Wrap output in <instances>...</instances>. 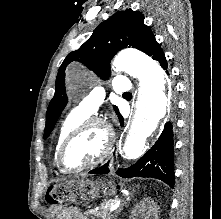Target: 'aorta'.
Here are the masks:
<instances>
[{
  "mask_svg": "<svg viewBox=\"0 0 221 219\" xmlns=\"http://www.w3.org/2000/svg\"><path fill=\"white\" fill-rule=\"evenodd\" d=\"M113 65L140 81L136 110L123 146L124 157L133 159L142 154L146 138L166 115L168 86L164 70L158 62L138 50H122L115 57ZM80 75L77 68H69L66 72L68 84L76 85Z\"/></svg>",
  "mask_w": 221,
  "mask_h": 219,
  "instance_id": "aorta-1",
  "label": "aorta"
}]
</instances>
